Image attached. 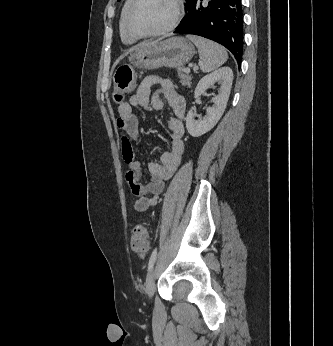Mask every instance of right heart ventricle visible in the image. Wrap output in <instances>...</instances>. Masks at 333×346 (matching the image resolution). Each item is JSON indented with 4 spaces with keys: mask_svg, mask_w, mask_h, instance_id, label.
I'll return each mask as SVG.
<instances>
[{
    "mask_svg": "<svg viewBox=\"0 0 333 346\" xmlns=\"http://www.w3.org/2000/svg\"><path fill=\"white\" fill-rule=\"evenodd\" d=\"M131 2H132V0H125L124 4L122 6L121 12H120L119 20H118L119 34H120L121 40L124 43H134L137 40L136 37L130 36L126 32L125 26H124L125 16H126V13L128 11V8H129Z\"/></svg>",
    "mask_w": 333,
    "mask_h": 346,
    "instance_id": "right-heart-ventricle-1",
    "label": "right heart ventricle"
}]
</instances>
